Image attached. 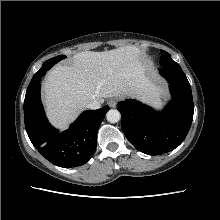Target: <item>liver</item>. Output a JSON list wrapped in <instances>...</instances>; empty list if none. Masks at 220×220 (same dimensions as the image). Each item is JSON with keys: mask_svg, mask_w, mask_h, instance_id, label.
I'll return each mask as SVG.
<instances>
[{"mask_svg": "<svg viewBox=\"0 0 220 220\" xmlns=\"http://www.w3.org/2000/svg\"><path fill=\"white\" fill-rule=\"evenodd\" d=\"M149 83L146 66L136 46L73 56L70 66H56L43 83L44 103L50 121L66 129L94 100L130 96Z\"/></svg>", "mask_w": 220, "mask_h": 220, "instance_id": "obj_1", "label": "liver"}]
</instances>
